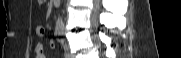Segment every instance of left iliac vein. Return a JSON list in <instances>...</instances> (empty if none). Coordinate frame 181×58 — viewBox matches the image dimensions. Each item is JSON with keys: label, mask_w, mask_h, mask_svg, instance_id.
Instances as JSON below:
<instances>
[{"label": "left iliac vein", "mask_w": 181, "mask_h": 58, "mask_svg": "<svg viewBox=\"0 0 181 58\" xmlns=\"http://www.w3.org/2000/svg\"><path fill=\"white\" fill-rule=\"evenodd\" d=\"M65 57L66 58H71V55H70L69 50L67 48V45H65Z\"/></svg>", "instance_id": "obj_1"}]
</instances>
